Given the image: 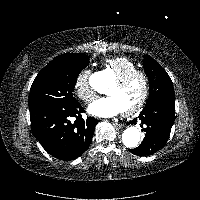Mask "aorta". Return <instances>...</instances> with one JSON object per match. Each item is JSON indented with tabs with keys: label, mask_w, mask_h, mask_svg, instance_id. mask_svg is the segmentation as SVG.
<instances>
[{
	"label": "aorta",
	"mask_w": 200,
	"mask_h": 200,
	"mask_svg": "<svg viewBox=\"0 0 200 200\" xmlns=\"http://www.w3.org/2000/svg\"><path fill=\"white\" fill-rule=\"evenodd\" d=\"M101 74H96L92 77L91 83L94 89L99 91V86L97 81L101 78ZM141 133L139 129L135 126L127 127L122 134L123 144L128 148L137 147L140 141Z\"/></svg>",
	"instance_id": "1"
}]
</instances>
